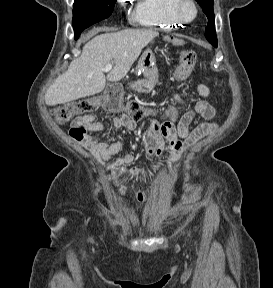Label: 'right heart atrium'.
<instances>
[{
    "instance_id": "obj_1",
    "label": "right heart atrium",
    "mask_w": 273,
    "mask_h": 288,
    "mask_svg": "<svg viewBox=\"0 0 273 288\" xmlns=\"http://www.w3.org/2000/svg\"><path fill=\"white\" fill-rule=\"evenodd\" d=\"M119 2L121 3V5H125L126 4V0H119Z\"/></svg>"
}]
</instances>
